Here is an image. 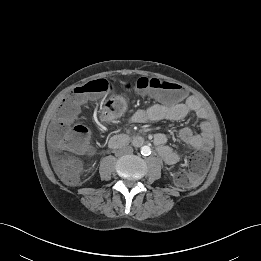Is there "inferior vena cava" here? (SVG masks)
<instances>
[{
  "label": "inferior vena cava",
  "mask_w": 261,
  "mask_h": 261,
  "mask_svg": "<svg viewBox=\"0 0 261 261\" xmlns=\"http://www.w3.org/2000/svg\"><path fill=\"white\" fill-rule=\"evenodd\" d=\"M123 154H131L133 152V148L131 146H125L120 149Z\"/></svg>",
  "instance_id": "1"
}]
</instances>
